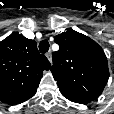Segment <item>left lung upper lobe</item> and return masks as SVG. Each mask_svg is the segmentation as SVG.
<instances>
[{"mask_svg": "<svg viewBox=\"0 0 114 114\" xmlns=\"http://www.w3.org/2000/svg\"><path fill=\"white\" fill-rule=\"evenodd\" d=\"M55 42L60 49L53 53L51 72L62 95L97 99L109 78L103 49L74 30L55 36Z\"/></svg>", "mask_w": 114, "mask_h": 114, "instance_id": "1", "label": "left lung upper lobe"}]
</instances>
